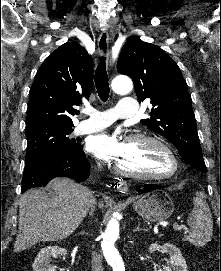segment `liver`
<instances>
[{"mask_svg":"<svg viewBox=\"0 0 221 271\" xmlns=\"http://www.w3.org/2000/svg\"><path fill=\"white\" fill-rule=\"evenodd\" d=\"M54 197L44 189L31 187L20 197L19 225L14 251H23L38 241H59L68 237L86 217L91 205L90 189L69 177H54ZM103 209V201H98Z\"/></svg>","mask_w":221,"mask_h":271,"instance_id":"obj_1","label":"liver"}]
</instances>
